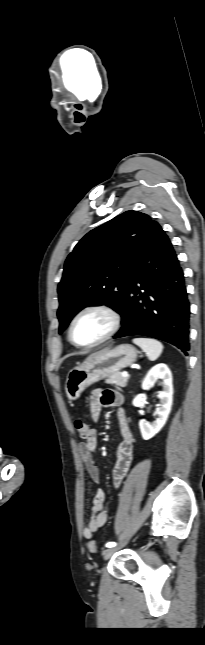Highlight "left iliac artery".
<instances>
[{
	"label": "left iliac artery",
	"mask_w": 205,
	"mask_h": 645,
	"mask_svg": "<svg viewBox=\"0 0 205 645\" xmlns=\"http://www.w3.org/2000/svg\"><path fill=\"white\" fill-rule=\"evenodd\" d=\"M105 546L108 547V548H112V547L116 546V543L115 542H108V543H106Z\"/></svg>",
	"instance_id": "44dca946"
}]
</instances>
